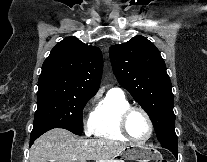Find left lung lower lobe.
I'll list each match as a JSON object with an SVG mask.
<instances>
[{
    "label": "left lung lower lobe",
    "instance_id": "0a47b994",
    "mask_svg": "<svg viewBox=\"0 0 207 162\" xmlns=\"http://www.w3.org/2000/svg\"><path fill=\"white\" fill-rule=\"evenodd\" d=\"M160 144L163 148H166V149L170 150L174 154V156L177 158V156H178V145H177L178 140H177V137L164 140V141L160 142Z\"/></svg>",
    "mask_w": 207,
    "mask_h": 162
}]
</instances>
